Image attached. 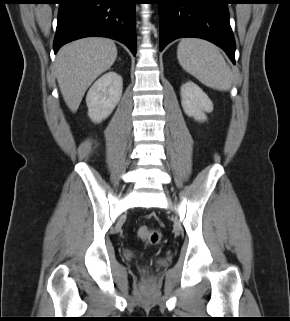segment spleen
I'll use <instances>...</instances> for the list:
<instances>
[{"mask_svg": "<svg viewBox=\"0 0 290 321\" xmlns=\"http://www.w3.org/2000/svg\"><path fill=\"white\" fill-rule=\"evenodd\" d=\"M180 65L208 87L228 90L232 84L231 69L218 47L201 39H183L177 49Z\"/></svg>", "mask_w": 290, "mask_h": 321, "instance_id": "1", "label": "spleen"}]
</instances>
